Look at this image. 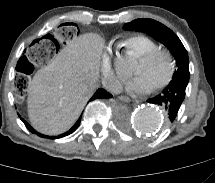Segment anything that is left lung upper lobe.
I'll return each mask as SVG.
<instances>
[{"instance_id": "5c2ea615", "label": "left lung upper lobe", "mask_w": 215, "mask_h": 183, "mask_svg": "<svg viewBox=\"0 0 215 183\" xmlns=\"http://www.w3.org/2000/svg\"><path fill=\"white\" fill-rule=\"evenodd\" d=\"M125 30L145 32L157 41L163 43L176 60L177 69L172 79L189 81V59L186 49L178 36L165 25L152 19H137L123 26Z\"/></svg>"}]
</instances>
